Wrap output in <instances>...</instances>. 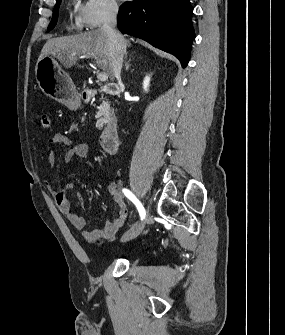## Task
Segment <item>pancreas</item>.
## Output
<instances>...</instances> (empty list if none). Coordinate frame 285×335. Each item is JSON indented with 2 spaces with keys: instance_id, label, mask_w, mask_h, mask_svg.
Listing matches in <instances>:
<instances>
[{
  "instance_id": "obj_1",
  "label": "pancreas",
  "mask_w": 285,
  "mask_h": 335,
  "mask_svg": "<svg viewBox=\"0 0 285 335\" xmlns=\"http://www.w3.org/2000/svg\"><path fill=\"white\" fill-rule=\"evenodd\" d=\"M112 116H114L113 108L106 106L105 102H103V104L98 106V109L94 114L95 119L93 120V123L95 125H105L106 120L107 122H110Z\"/></svg>"
}]
</instances>
